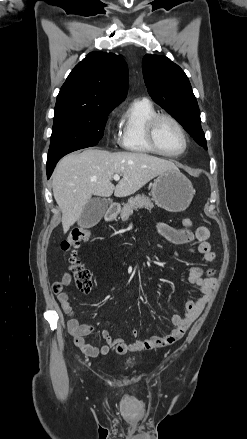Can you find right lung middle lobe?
Here are the masks:
<instances>
[{
    "label": "right lung middle lobe",
    "mask_w": 247,
    "mask_h": 439,
    "mask_svg": "<svg viewBox=\"0 0 247 439\" xmlns=\"http://www.w3.org/2000/svg\"><path fill=\"white\" fill-rule=\"evenodd\" d=\"M112 110L88 107L55 108L47 167L56 164L70 152L97 145Z\"/></svg>",
    "instance_id": "right-lung-middle-lobe-1"
}]
</instances>
